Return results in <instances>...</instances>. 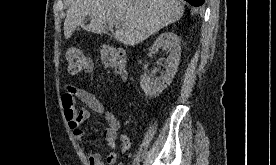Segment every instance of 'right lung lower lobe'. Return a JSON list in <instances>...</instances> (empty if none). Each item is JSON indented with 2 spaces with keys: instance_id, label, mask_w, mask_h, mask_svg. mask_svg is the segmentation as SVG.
<instances>
[{
  "instance_id": "right-lung-lower-lobe-1",
  "label": "right lung lower lobe",
  "mask_w": 276,
  "mask_h": 165,
  "mask_svg": "<svg viewBox=\"0 0 276 165\" xmlns=\"http://www.w3.org/2000/svg\"><path fill=\"white\" fill-rule=\"evenodd\" d=\"M185 1H187L188 3H190L193 6L198 7V6L202 5L205 0H185Z\"/></svg>"
}]
</instances>
